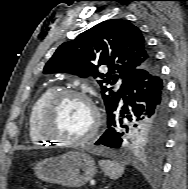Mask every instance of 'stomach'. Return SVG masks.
Segmentation results:
<instances>
[{
  "label": "stomach",
  "mask_w": 188,
  "mask_h": 189,
  "mask_svg": "<svg viewBox=\"0 0 188 189\" xmlns=\"http://www.w3.org/2000/svg\"><path fill=\"white\" fill-rule=\"evenodd\" d=\"M34 172L38 178L47 182L80 187L93 178L96 165L88 154L68 152L38 162Z\"/></svg>",
  "instance_id": "1"
}]
</instances>
